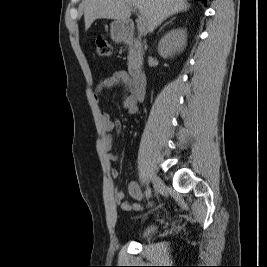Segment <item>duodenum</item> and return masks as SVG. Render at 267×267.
I'll return each instance as SVG.
<instances>
[{
  "instance_id": "1",
  "label": "duodenum",
  "mask_w": 267,
  "mask_h": 267,
  "mask_svg": "<svg viewBox=\"0 0 267 267\" xmlns=\"http://www.w3.org/2000/svg\"><path fill=\"white\" fill-rule=\"evenodd\" d=\"M134 29V24L132 21H127L125 23V29L124 34L126 38H130L132 36ZM132 86H131V92L133 97L136 100H142L145 95L146 90V75L142 70H134L132 73Z\"/></svg>"
}]
</instances>
